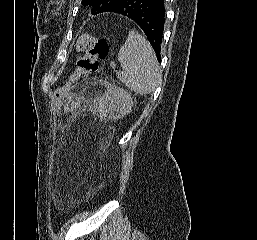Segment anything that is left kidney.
<instances>
[{"instance_id": "1", "label": "left kidney", "mask_w": 257, "mask_h": 240, "mask_svg": "<svg viewBox=\"0 0 257 240\" xmlns=\"http://www.w3.org/2000/svg\"><path fill=\"white\" fill-rule=\"evenodd\" d=\"M132 106L131 96L124 90L118 89L107 93L101 99V112L105 117L119 118L129 112Z\"/></svg>"}]
</instances>
